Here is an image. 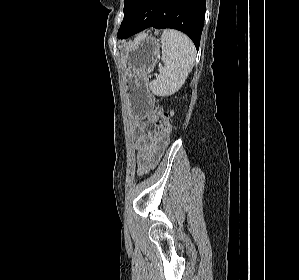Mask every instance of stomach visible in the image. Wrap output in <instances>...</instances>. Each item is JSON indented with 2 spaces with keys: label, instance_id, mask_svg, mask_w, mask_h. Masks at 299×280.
I'll return each mask as SVG.
<instances>
[{
  "label": "stomach",
  "instance_id": "stomach-1",
  "mask_svg": "<svg viewBox=\"0 0 299 280\" xmlns=\"http://www.w3.org/2000/svg\"><path fill=\"white\" fill-rule=\"evenodd\" d=\"M159 53V41L146 34L139 35L122 53L126 66V97L134 116L146 115L152 106L146 77L154 69Z\"/></svg>",
  "mask_w": 299,
  "mask_h": 280
}]
</instances>
